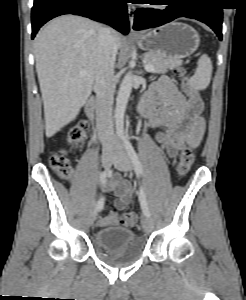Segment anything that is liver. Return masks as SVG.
<instances>
[{
  "label": "liver",
  "mask_w": 246,
  "mask_h": 300,
  "mask_svg": "<svg viewBox=\"0 0 246 300\" xmlns=\"http://www.w3.org/2000/svg\"><path fill=\"white\" fill-rule=\"evenodd\" d=\"M100 29L99 24L84 17L63 15L36 35V72L48 138L77 117L91 94ZM112 35L119 49L121 37L116 31ZM83 71L85 75H81Z\"/></svg>",
  "instance_id": "6515ba94"
}]
</instances>
